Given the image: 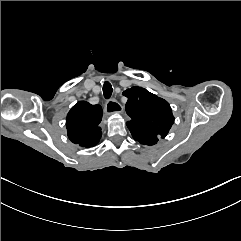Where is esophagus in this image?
Listing matches in <instances>:
<instances>
[{"label":"esophagus","instance_id":"obj_1","mask_svg":"<svg viewBox=\"0 0 241 241\" xmlns=\"http://www.w3.org/2000/svg\"><path fill=\"white\" fill-rule=\"evenodd\" d=\"M122 111L123 107L116 99L111 98L107 100L104 108L105 114L110 115L116 112L120 113Z\"/></svg>","mask_w":241,"mask_h":241}]
</instances>
